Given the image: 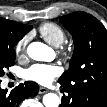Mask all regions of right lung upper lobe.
Segmentation results:
<instances>
[{
    "label": "right lung upper lobe",
    "instance_id": "cb5924a9",
    "mask_svg": "<svg viewBox=\"0 0 107 107\" xmlns=\"http://www.w3.org/2000/svg\"><path fill=\"white\" fill-rule=\"evenodd\" d=\"M30 30L31 26L0 18V50L14 47Z\"/></svg>",
    "mask_w": 107,
    "mask_h": 107
}]
</instances>
